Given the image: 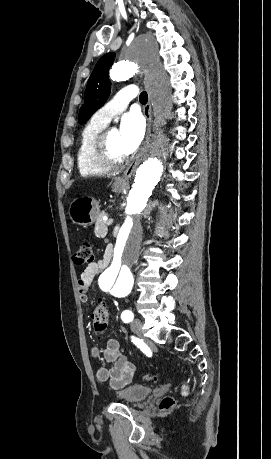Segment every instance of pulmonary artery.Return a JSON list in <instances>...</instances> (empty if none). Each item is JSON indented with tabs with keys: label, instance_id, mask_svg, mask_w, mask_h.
I'll return each mask as SVG.
<instances>
[{
	"label": "pulmonary artery",
	"instance_id": "1",
	"mask_svg": "<svg viewBox=\"0 0 271 459\" xmlns=\"http://www.w3.org/2000/svg\"><path fill=\"white\" fill-rule=\"evenodd\" d=\"M129 87V89H119L117 95H113V99L95 113L93 116L95 120L102 124H108L112 117L129 107L131 105L130 98L137 95L133 88L134 84L130 83Z\"/></svg>",
	"mask_w": 271,
	"mask_h": 459
}]
</instances>
